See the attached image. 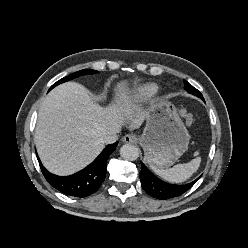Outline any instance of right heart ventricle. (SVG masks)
<instances>
[{
    "mask_svg": "<svg viewBox=\"0 0 248 248\" xmlns=\"http://www.w3.org/2000/svg\"><path fill=\"white\" fill-rule=\"evenodd\" d=\"M157 92L158 86L154 83L140 85L134 89L126 105L134 107L136 104L142 103L154 96Z\"/></svg>",
    "mask_w": 248,
    "mask_h": 248,
    "instance_id": "right-heart-ventricle-1",
    "label": "right heart ventricle"
}]
</instances>
